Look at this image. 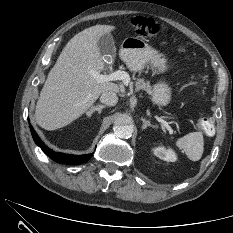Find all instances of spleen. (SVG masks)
<instances>
[{
  "mask_svg": "<svg viewBox=\"0 0 233 233\" xmlns=\"http://www.w3.org/2000/svg\"><path fill=\"white\" fill-rule=\"evenodd\" d=\"M176 146L183 150L192 161L201 159L204 151V140L201 132H191L176 141Z\"/></svg>",
  "mask_w": 233,
  "mask_h": 233,
  "instance_id": "3e777b00",
  "label": "spleen"
}]
</instances>
